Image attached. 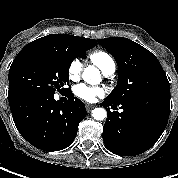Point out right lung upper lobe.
<instances>
[{
	"instance_id": "right-lung-upper-lobe-1",
	"label": "right lung upper lobe",
	"mask_w": 178,
	"mask_h": 178,
	"mask_svg": "<svg viewBox=\"0 0 178 178\" xmlns=\"http://www.w3.org/2000/svg\"><path fill=\"white\" fill-rule=\"evenodd\" d=\"M35 41H45V42L64 43V44H83L90 48L97 45V42L95 39L72 36V35H67V34H50V35L41 37Z\"/></svg>"
}]
</instances>
